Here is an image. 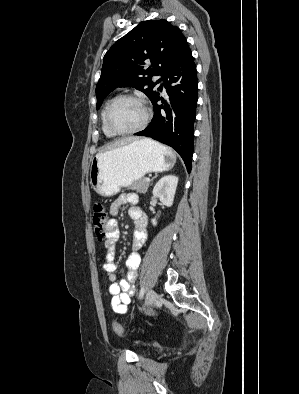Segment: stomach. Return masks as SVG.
I'll list each match as a JSON object with an SVG mask.
<instances>
[{"mask_svg":"<svg viewBox=\"0 0 299 394\" xmlns=\"http://www.w3.org/2000/svg\"><path fill=\"white\" fill-rule=\"evenodd\" d=\"M176 155L150 139L135 140L101 152L91 161V187L101 196L117 194L149 172L170 170Z\"/></svg>","mask_w":299,"mask_h":394,"instance_id":"stomach-1","label":"stomach"}]
</instances>
